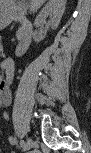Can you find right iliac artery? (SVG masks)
Instances as JSON below:
<instances>
[{
    "mask_svg": "<svg viewBox=\"0 0 91 153\" xmlns=\"http://www.w3.org/2000/svg\"><path fill=\"white\" fill-rule=\"evenodd\" d=\"M20 145H21V147H23V148H24V147L26 146L25 141H24V140H21V141H20Z\"/></svg>",
    "mask_w": 91,
    "mask_h": 153,
    "instance_id": "right-iliac-artery-1",
    "label": "right iliac artery"
}]
</instances>
